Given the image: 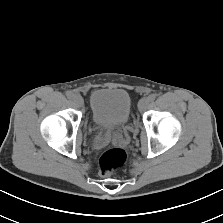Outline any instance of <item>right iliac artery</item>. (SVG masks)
<instances>
[{
    "instance_id": "1",
    "label": "right iliac artery",
    "mask_w": 223,
    "mask_h": 223,
    "mask_svg": "<svg viewBox=\"0 0 223 223\" xmlns=\"http://www.w3.org/2000/svg\"><path fill=\"white\" fill-rule=\"evenodd\" d=\"M66 96H67L69 99H72V98L74 97V93L71 92V91H67Z\"/></svg>"
}]
</instances>
